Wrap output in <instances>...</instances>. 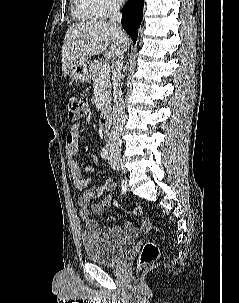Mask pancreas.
Returning a JSON list of instances; mask_svg holds the SVG:
<instances>
[{
	"instance_id": "1",
	"label": "pancreas",
	"mask_w": 239,
	"mask_h": 303,
	"mask_svg": "<svg viewBox=\"0 0 239 303\" xmlns=\"http://www.w3.org/2000/svg\"><path fill=\"white\" fill-rule=\"evenodd\" d=\"M104 65L103 61H94L89 64V75L90 79L92 80L93 84H99L100 81L102 82L101 86V93L103 97L102 101V112L106 111L110 105L111 101V83L110 77L106 76L104 79L99 80V72L101 67Z\"/></svg>"
}]
</instances>
